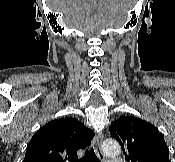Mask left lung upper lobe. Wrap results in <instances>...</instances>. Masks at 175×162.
Listing matches in <instances>:
<instances>
[{"label":"left lung upper lobe","mask_w":175,"mask_h":162,"mask_svg":"<svg viewBox=\"0 0 175 162\" xmlns=\"http://www.w3.org/2000/svg\"><path fill=\"white\" fill-rule=\"evenodd\" d=\"M128 162H170L169 149L158 129L145 120L121 116L109 128Z\"/></svg>","instance_id":"5c2ea615"}]
</instances>
